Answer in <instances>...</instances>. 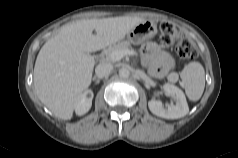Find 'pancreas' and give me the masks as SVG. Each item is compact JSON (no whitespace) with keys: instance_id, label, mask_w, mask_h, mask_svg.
<instances>
[{"instance_id":"obj_1","label":"pancreas","mask_w":238,"mask_h":158,"mask_svg":"<svg viewBox=\"0 0 238 158\" xmlns=\"http://www.w3.org/2000/svg\"><path fill=\"white\" fill-rule=\"evenodd\" d=\"M127 49L128 50L131 49L130 43L128 41H122L120 43L114 44L113 46L107 48L104 51V54H105L107 60H111L112 61V59L110 58V54L112 52L118 51V50H127Z\"/></svg>"}]
</instances>
